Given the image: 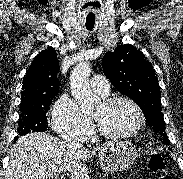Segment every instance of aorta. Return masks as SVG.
Wrapping results in <instances>:
<instances>
[{
	"instance_id": "aorta-1",
	"label": "aorta",
	"mask_w": 183,
	"mask_h": 179,
	"mask_svg": "<svg viewBox=\"0 0 183 179\" xmlns=\"http://www.w3.org/2000/svg\"><path fill=\"white\" fill-rule=\"evenodd\" d=\"M91 65L89 62L77 64L70 75L71 94L83 112L93 111L99 103V97L94 95L89 84Z\"/></svg>"
}]
</instances>
